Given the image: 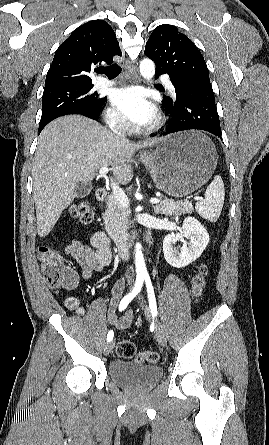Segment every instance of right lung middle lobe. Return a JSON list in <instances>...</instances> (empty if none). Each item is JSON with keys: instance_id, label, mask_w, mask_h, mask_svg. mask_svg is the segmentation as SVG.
Listing matches in <instances>:
<instances>
[{"instance_id": "right-lung-middle-lobe-1", "label": "right lung middle lobe", "mask_w": 269, "mask_h": 445, "mask_svg": "<svg viewBox=\"0 0 269 445\" xmlns=\"http://www.w3.org/2000/svg\"><path fill=\"white\" fill-rule=\"evenodd\" d=\"M90 85H70L44 90L42 97V116L39 123L41 131L49 122L68 114L96 115L106 98L91 94Z\"/></svg>"}]
</instances>
